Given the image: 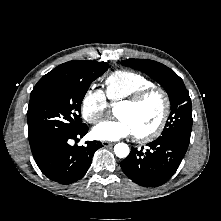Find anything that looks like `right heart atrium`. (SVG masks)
<instances>
[{
    "instance_id": "1",
    "label": "right heart atrium",
    "mask_w": 221,
    "mask_h": 221,
    "mask_svg": "<svg viewBox=\"0 0 221 221\" xmlns=\"http://www.w3.org/2000/svg\"><path fill=\"white\" fill-rule=\"evenodd\" d=\"M108 109V102L100 89L90 88L82 97L80 112L82 118L89 124L98 123Z\"/></svg>"
}]
</instances>
